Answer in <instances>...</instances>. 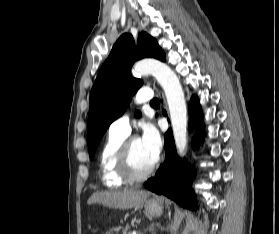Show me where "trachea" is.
I'll return each instance as SVG.
<instances>
[{"instance_id": "3493384b", "label": "trachea", "mask_w": 279, "mask_h": 234, "mask_svg": "<svg viewBox=\"0 0 279 234\" xmlns=\"http://www.w3.org/2000/svg\"><path fill=\"white\" fill-rule=\"evenodd\" d=\"M151 105H158L159 104V100L157 98H154L151 102Z\"/></svg>"}]
</instances>
